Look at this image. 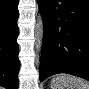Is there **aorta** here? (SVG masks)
Returning <instances> with one entry per match:
<instances>
[{"mask_svg": "<svg viewBox=\"0 0 89 89\" xmlns=\"http://www.w3.org/2000/svg\"><path fill=\"white\" fill-rule=\"evenodd\" d=\"M43 33H44L43 19L42 16L38 14L37 23L34 29V34H35L34 49L37 54V57H39V53H41L42 43H43Z\"/></svg>", "mask_w": 89, "mask_h": 89, "instance_id": "1", "label": "aorta"}]
</instances>
